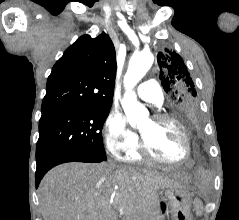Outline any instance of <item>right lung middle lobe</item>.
<instances>
[{
	"mask_svg": "<svg viewBox=\"0 0 239 220\" xmlns=\"http://www.w3.org/2000/svg\"><path fill=\"white\" fill-rule=\"evenodd\" d=\"M110 108L56 110L42 113L36 160L57 153H76L107 160L102 127Z\"/></svg>",
	"mask_w": 239,
	"mask_h": 220,
	"instance_id": "obj_1",
	"label": "right lung middle lobe"
}]
</instances>
